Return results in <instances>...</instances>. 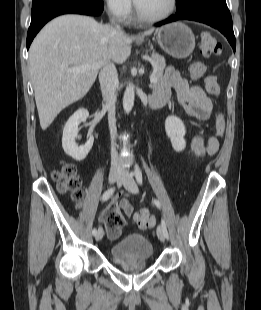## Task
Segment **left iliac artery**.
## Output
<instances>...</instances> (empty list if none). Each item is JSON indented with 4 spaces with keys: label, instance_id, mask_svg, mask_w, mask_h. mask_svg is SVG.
I'll return each instance as SVG.
<instances>
[{
    "label": "left iliac artery",
    "instance_id": "1",
    "mask_svg": "<svg viewBox=\"0 0 261 310\" xmlns=\"http://www.w3.org/2000/svg\"><path fill=\"white\" fill-rule=\"evenodd\" d=\"M135 178H136L138 184L142 185V182H143L142 172H141V170L137 164L135 165ZM153 202L157 208H159V209L161 208V204L158 200L154 199ZM161 226L163 228L166 239H168L169 235L167 232L166 223H165L164 219H162V221H161Z\"/></svg>",
    "mask_w": 261,
    "mask_h": 310
}]
</instances>
